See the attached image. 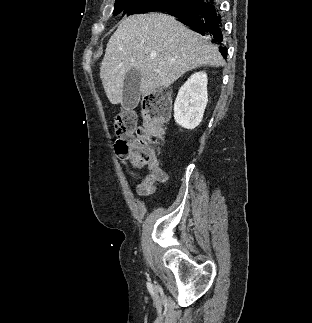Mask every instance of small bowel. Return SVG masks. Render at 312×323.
<instances>
[{"instance_id":"small-bowel-1","label":"small bowel","mask_w":312,"mask_h":323,"mask_svg":"<svg viewBox=\"0 0 312 323\" xmlns=\"http://www.w3.org/2000/svg\"><path fill=\"white\" fill-rule=\"evenodd\" d=\"M149 174L137 185L136 191L140 196H150L157 190L159 183L169 180V175L164 172L157 158H154L148 165Z\"/></svg>"}]
</instances>
